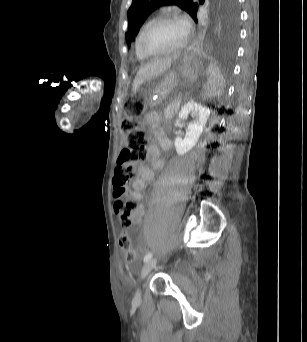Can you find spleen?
<instances>
[{
  "instance_id": "3e777b00",
  "label": "spleen",
  "mask_w": 307,
  "mask_h": 342,
  "mask_svg": "<svg viewBox=\"0 0 307 342\" xmlns=\"http://www.w3.org/2000/svg\"><path fill=\"white\" fill-rule=\"evenodd\" d=\"M211 61L212 62L207 66L208 83L204 84V89L209 90V93L207 94L208 100H213L214 95L219 94V90L222 88L221 84L225 83V78L221 77V70H218V66L215 65L213 59Z\"/></svg>"
}]
</instances>
